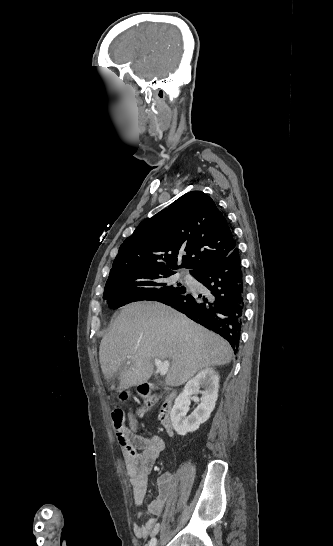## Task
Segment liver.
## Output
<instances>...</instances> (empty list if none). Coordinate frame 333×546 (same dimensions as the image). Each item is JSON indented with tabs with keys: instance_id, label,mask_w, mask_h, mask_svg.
Wrapping results in <instances>:
<instances>
[{
	"instance_id": "6515ba94",
	"label": "liver",
	"mask_w": 333,
	"mask_h": 546,
	"mask_svg": "<svg viewBox=\"0 0 333 546\" xmlns=\"http://www.w3.org/2000/svg\"><path fill=\"white\" fill-rule=\"evenodd\" d=\"M232 357V348L224 339L159 302L123 307L99 350L106 380L127 359L132 362L120 372L119 391L146 382L154 372L155 358L171 360L165 382L180 386L198 371L228 364Z\"/></svg>"
}]
</instances>
